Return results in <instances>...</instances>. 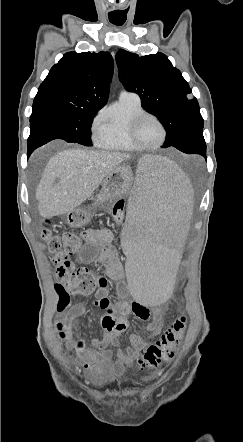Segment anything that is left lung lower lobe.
<instances>
[{
  "mask_svg": "<svg viewBox=\"0 0 243 442\" xmlns=\"http://www.w3.org/2000/svg\"><path fill=\"white\" fill-rule=\"evenodd\" d=\"M174 147L182 152L200 154L206 158V143L203 137V130L193 133Z\"/></svg>",
  "mask_w": 243,
  "mask_h": 442,
  "instance_id": "1",
  "label": "left lung lower lobe"
}]
</instances>
